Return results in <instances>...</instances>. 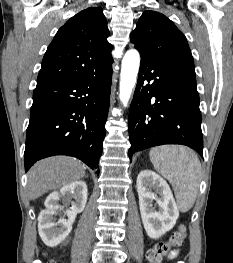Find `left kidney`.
I'll return each mask as SVG.
<instances>
[{
	"label": "left kidney",
	"instance_id": "obj_1",
	"mask_svg": "<svg viewBox=\"0 0 233 263\" xmlns=\"http://www.w3.org/2000/svg\"><path fill=\"white\" fill-rule=\"evenodd\" d=\"M137 192L145 231L150 238L158 239L174 227L179 217L171 189L161 176L151 170H143L137 177ZM153 200L156 201L158 210L153 207Z\"/></svg>",
	"mask_w": 233,
	"mask_h": 263
}]
</instances>
